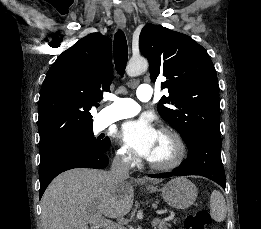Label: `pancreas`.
<instances>
[{
    "label": "pancreas",
    "instance_id": "1",
    "mask_svg": "<svg viewBox=\"0 0 261 229\" xmlns=\"http://www.w3.org/2000/svg\"><path fill=\"white\" fill-rule=\"evenodd\" d=\"M158 221L157 225H153L154 229H168V227H171L170 223H168V221H165V219H156ZM174 225L176 223V219H174L173 221Z\"/></svg>",
    "mask_w": 261,
    "mask_h": 229
}]
</instances>
